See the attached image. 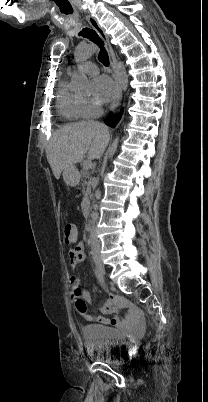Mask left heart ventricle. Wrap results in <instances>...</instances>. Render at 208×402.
Returning a JSON list of instances; mask_svg holds the SVG:
<instances>
[{
	"instance_id": "left-heart-ventricle-1",
	"label": "left heart ventricle",
	"mask_w": 208,
	"mask_h": 402,
	"mask_svg": "<svg viewBox=\"0 0 208 402\" xmlns=\"http://www.w3.org/2000/svg\"><path fill=\"white\" fill-rule=\"evenodd\" d=\"M89 95H93L94 97H99L98 92L93 88L89 87Z\"/></svg>"
}]
</instances>
